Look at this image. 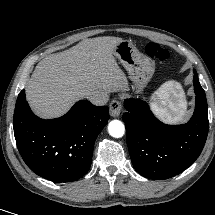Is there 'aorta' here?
I'll return each instance as SVG.
<instances>
[{
	"instance_id": "obj_1",
	"label": "aorta",
	"mask_w": 215,
	"mask_h": 215,
	"mask_svg": "<svg viewBox=\"0 0 215 215\" xmlns=\"http://www.w3.org/2000/svg\"><path fill=\"white\" fill-rule=\"evenodd\" d=\"M108 132L112 137L120 138L124 135L125 127L119 120H113L108 125Z\"/></svg>"
}]
</instances>
